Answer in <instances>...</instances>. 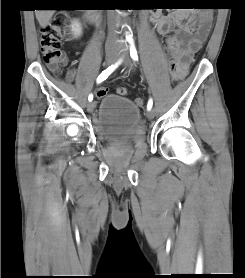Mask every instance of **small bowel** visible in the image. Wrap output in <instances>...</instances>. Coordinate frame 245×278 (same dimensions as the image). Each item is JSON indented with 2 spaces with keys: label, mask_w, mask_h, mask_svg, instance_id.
<instances>
[{
  "label": "small bowel",
  "mask_w": 245,
  "mask_h": 278,
  "mask_svg": "<svg viewBox=\"0 0 245 278\" xmlns=\"http://www.w3.org/2000/svg\"><path fill=\"white\" fill-rule=\"evenodd\" d=\"M209 15L194 10L190 14L173 12L168 16L158 14L153 16L155 30L165 37L164 43L170 63L177 68L181 76L186 75L190 62L208 36L209 32L204 24ZM66 77L69 81H73L74 69H70ZM106 94L98 93V96L103 97Z\"/></svg>",
  "instance_id": "1"
}]
</instances>
